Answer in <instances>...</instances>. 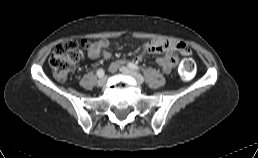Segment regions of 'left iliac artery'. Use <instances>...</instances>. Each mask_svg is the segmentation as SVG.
Wrapping results in <instances>:
<instances>
[{"mask_svg":"<svg viewBox=\"0 0 258 158\" xmlns=\"http://www.w3.org/2000/svg\"><path fill=\"white\" fill-rule=\"evenodd\" d=\"M128 67L133 69V70H135V71H139L140 70V68L136 64L131 63V62L128 63Z\"/></svg>","mask_w":258,"mask_h":158,"instance_id":"obj_1","label":"left iliac artery"}]
</instances>
